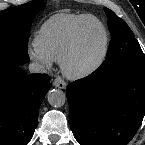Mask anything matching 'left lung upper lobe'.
I'll return each mask as SVG.
<instances>
[{"mask_svg": "<svg viewBox=\"0 0 145 145\" xmlns=\"http://www.w3.org/2000/svg\"><path fill=\"white\" fill-rule=\"evenodd\" d=\"M108 17V27L112 34L107 57L98 68L100 73H109L115 69L145 66V56L134 37L133 32L113 11L104 8Z\"/></svg>", "mask_w": 145, "mask_h": 145, "instance_id": "1", "label": "left lung upper lobe"}]
</instances>
